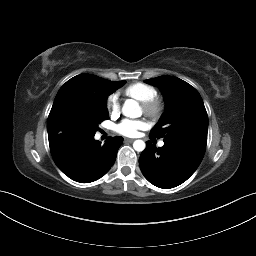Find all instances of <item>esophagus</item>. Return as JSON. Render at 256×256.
<instances>
[{
    "label": "esophagus",
    "instance_id": "obj_1",
    "mask_svg": "<svg viewBox=\"0 0 256 256\" xmlns=\"http://www.w3.org/2000/svg\"><path fill=\"white\" fill-rule=\"evenodd\" d=\"M124 141H125V142H129V143H131V142H133V141H134V139L125 138V139H124Z\"/></svg>",
    "mask_w": 256,
    "mask_h": 256
}]
</instances>
